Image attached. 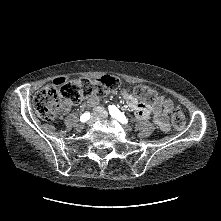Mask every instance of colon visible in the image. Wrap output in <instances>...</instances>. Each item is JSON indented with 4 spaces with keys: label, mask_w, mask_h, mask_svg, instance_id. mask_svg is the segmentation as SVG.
<instances>
[{
    "label": "colon",
    "mask_w": 221,
    "mask_h": 221,
    "mask_svg": "<svg viewBox=\"0 0 221 221\" xmlns=\"http://www.w3.org/2000/svg\"><path fill=\"white\" fill-rule=\"evenodd\" d=\"M118 86L119 80L113 76L71 79L63 86L49 84L36 94L34 109L41 119L52 121L60 113L63 104L78 103L89 96H104L116 90ZM134 94L150 104H156L158 101L156 93L145 85L136 86ZM169 112L175 129L183 130L186 120L182 111L173 105Z\"/></svg>",
    "instance_id": "colon-1"
}]
</instances>
